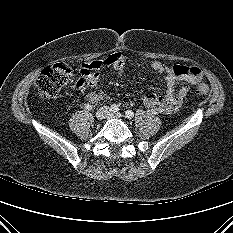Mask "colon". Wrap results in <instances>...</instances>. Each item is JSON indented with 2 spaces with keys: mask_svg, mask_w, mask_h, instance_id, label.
Masks as SVG:
<instances>
[{
  "mask_svg": "<svg viewBox=\"0 0 233 233\" xmlns=\"http://www.w3.org/2000/svg\"><path fill=\"white\" fill-rule=\"evenodd\" d=\"M70 72V68L62 63L54 64L43 69L36 80L39 94L47 99L55 98L60 89L66 84ZM175 73L177 75L191 77H199L201 75L198 68L188 66L175 68ZM197 92L201 95H206L209 92V88L206 84L201 83L197 86Z\"/></svg>",
  "mask_w": 233,
  "mask_h": 233,
  "instance_id": "obj_1",
  "label": "colon"
}]
</instances>
